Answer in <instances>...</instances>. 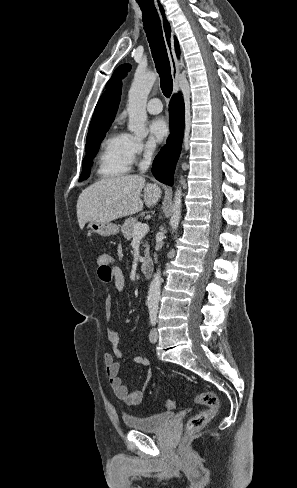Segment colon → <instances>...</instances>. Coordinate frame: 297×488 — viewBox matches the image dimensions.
<instances>
[{"label":"colon","mask_w":297,"mask_h":488,"mask_svg":"<svg viewBox=\"0 0 297 488\" xmlns=\"http://www.w3.org/2000/svg\"><path fill=\"white\" fill-rule=\"evenodd\" d=\"M109 261L110 257L108 254H102L97 259L98 270L104 276H107L109 273ZM194 402L204 406V409L188 420L186 425L188 432H196L202 429L215 417L219 408V399L213 392H205L197 395L194 398ZM175 407L176 402L173 400L165 403V408L168 410H172Z\"/></svg>","instance_id":"colon-1"}]
</instances>
